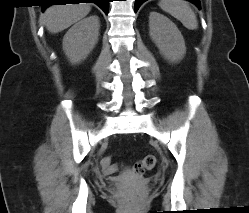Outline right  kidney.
I'll list each match as a JSON object with an SVG mask.
<instances>
[{"label": "right kidney", "instance_id": "obj_1", "mask_svg": "<svg viewBox=\"0 0 249 213\" xmlns=\"http://www.w3.org/2000/svg\"><path fill=\"white\" fill-rule=\"evenodd\" d=\"M99 18L96 15L74 24L63 38V50L72 64L80 63L93 50L99 36Z\"/></svg>", "mask_w": 249, "mask_h": 213}]
</instances>
